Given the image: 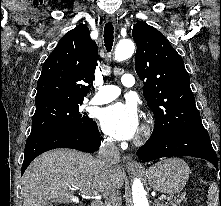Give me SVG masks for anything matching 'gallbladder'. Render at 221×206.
I'll return each instance as SVG.
<instances>
[{
    "label": "gallbladder",
    "instance_id": "gallbladder-1",
    "mask_svg": "<svg viewBox=\"0 0 221 206\" xmlns=\"http://www.w3.org/2000/svg\"><path fill=\"white\" fill-rule=\"evenodd\" d=\"M67 198H69V202H82V197H76V193H67Z\"/></svg>",
    "mask_w": 221,
    "mask_h": 206
}]
</instances>
